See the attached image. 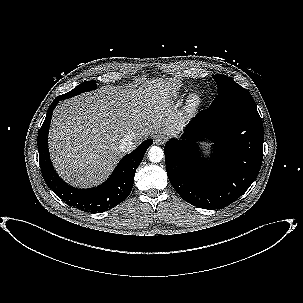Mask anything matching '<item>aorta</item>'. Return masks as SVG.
<instances>
[{"label":"aorta","mask_w":303,"mask_h":303,"mask_svg":"<svg viewBox=\"0 0 303 303\" xmlns=\"http://www.w3.org/2000/svg\"><path fill=\"white\" fill-rule=\"evenodd\" d=\"M149 160L158 163L164 158V151L158 146H152L148 151Z\"/></svg>","instance_id":"1"}]
</instances>
